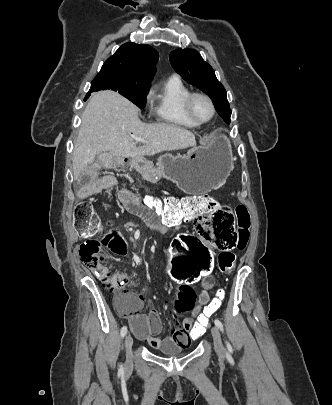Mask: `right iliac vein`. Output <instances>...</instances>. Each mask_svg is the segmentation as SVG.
Wrapping results in <instances>:
<instances>
[{
	"mask_svg": "<svg viewBox=\"0 0 332 405\" xmlns=\"http://www.w3.org/2000/svg\"><path fill=\"white\" fill-rule=\"evenodd\" d=\"M132 345H133V338L131 337L130 334H128L125 338V348L128 364H131L132 362Z\"/></svg>",
	"mask_w": 332,
	"mask_h": 405,
	"instance_id": "right-iliac-vein-1",
	"label": "right iliac vein"
}]
</instances>
